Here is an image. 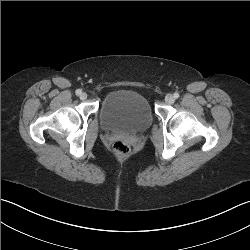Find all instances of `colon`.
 I'll use <instances>...</instances> for the list:
<instances>
[{
  "label": "colon",
  "instance_id": "5ec220e1",
  "mask_svg": "<svg viewBox=\"0 0 250 250\" xmlns=\"http://www.w3.org/2000/svg\"><path fill=\"white\" fill-rule=\"evenodd\" d=\"M112 152L119 157H125L130 152V145L127 141L118 139L111 144Z\"/></svg>",
  "mask_w": 250,
  "mask_h": 250
}]
</instances>
